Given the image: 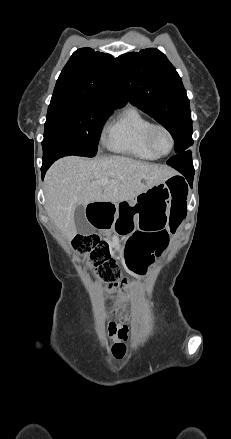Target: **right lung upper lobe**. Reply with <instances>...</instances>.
Returning <instances> with one entry per match:
<instances>
[{
  "label": "right lung upper lobe",
  "instance_id": "obj_1",
  "mask_svg": "<svg viewBox=\"0 0 231 439\" xmlns=\"http://www.w3.org/2000/svg\"><path fill=\"white\" fill-rule=\"evenodd\" d=\"M126 103L114 58L86 47L76 50L61 71L49 107L93 104L119 108Z\"/></svg>",
  "mask_w": 231,
  "mask_h": 439
}]
</instances>
